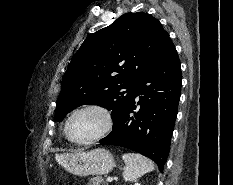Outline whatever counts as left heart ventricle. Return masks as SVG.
Returning <instances> with one entry per match:
<instances>
[{
	"instance_id": "left-heart-ventricle-1",
	"label": "left heart ventricle",
	"mask_w": 233,
	"mask_h": 185,
	"mask_svg": "<svg viewBox=\"0 0 233 185\" xmlns=\"http://www.w3.org/2000/svg\"><path fill=\"white\" fill-rule=\"evenodd\" d=\"M103 115L94 110L82 111L76 114L69 126L71 136L76 140H86L98 134L104 127Z\"/></svg>"
}]
</instances>
